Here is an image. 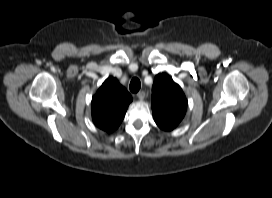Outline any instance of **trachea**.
<instances>
[{"label": "trachea", "instance_id": "3493384b", "mask_svg": "<svg viewBox=\"0 0 272 198\" xmlns=\"http://www.w3.org/2000/svg\"><path fill=\"white\" fill-rule=\"evenodd\" d=\"M140 87H141V82L138 78H133L130 82V91L132 93H137L139 90H140Z\"/></svg>", "mask_w": 272, "mask_h": 198}]
</instances>
